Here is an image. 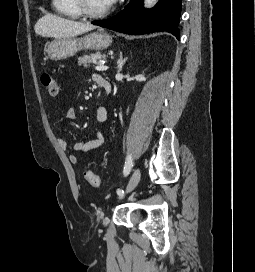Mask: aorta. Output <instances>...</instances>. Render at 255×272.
<instances>
[{
  "label": "aorta",
  "instance_id": "aorta-1",
  "mask_svg": "<svg viewBox=\"0 0 255 272\" xmlns=\"http://www.w3.org/2000/svg\"><path fill=\"white\" fill-rule=\"evenodd\" d=\"M157 0H145V5L146 6H152Z\"/></svg>",
  "mask_w": 255,
  "mask_h": 272
}]
</instances>
